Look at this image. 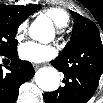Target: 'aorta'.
I'll return each instance as SVG.
<instances>
[{
    "label": "aorta",
    "instance_id": "aorta-1",
    "mask_svg": "<svg viewBox=\"0 0 103 103\" xmlns=\"http://www.w3.org/2000/svg\"><path fill=\"white\" fill-rule=\"evenodd\" d=\"M32 25L42 30L40 19H36ZM35 82L44 91H55L58 89L60 83L59 72L54 67L41 68L35 74Z\"/></svg>",
    "mask_w": 103,
    "mask_h": 103
}]
</instances>
